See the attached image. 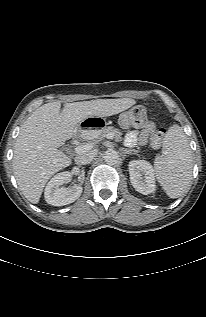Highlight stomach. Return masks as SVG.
Returning a JSON list of instances; mask_svg holds the SVG:
<instances>
[{"label": "stomach", "instance_id": "stomach-1", "mask_svg": "<svg viewBox=\"0 0 206 317\" xmlns=\"http://www.w3.org/2000/svg\"><path fill=\"white\" fill-rule=\"evenodd\" d=\"M117 125L114 115H99L82 119L75 128L78 138L86 142H94L99 139L102 130H111Z\"/></svg>", "mask_w": 206, "mask_h": 317}]
</instances>
